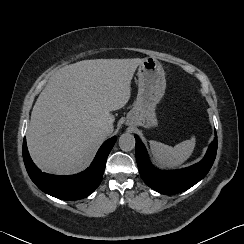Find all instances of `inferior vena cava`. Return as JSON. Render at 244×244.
I'll return each mask as SVG.
<instances>
[{
  "instance_id": "602c4592",
  "label": "inferior vena cava",
  "mask_w": 244,
  "mask_h": 244,
  "mask_svg": "<svg viewBox=\"0 0 244 244\" xmlns=\"http://www.w3.org/2000/svg\"><path fill=\"white\" fill-rule=\"evenodd\" d=\"M100 132H101V134H103L106 137L111 135V133L113 132V124L104 123L100 127Z\"/></svg>"
}]
</instances>
